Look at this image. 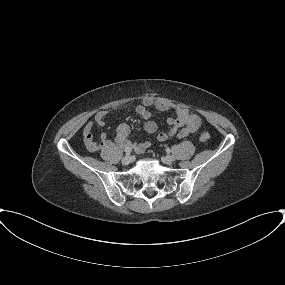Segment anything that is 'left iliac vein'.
Instances as JSON below:
<instances>
[{
    "label": "left iliac vein",
    "mask_w": 285,
    "mask_h": 285,
    "mask_svg": "<svg viewBox=\"0 0 285 285\" xmlns=\"http://www.w3.org/2000/svg\"><path fill=\"white\" fill-rule=\"evenodd\" d=\"M163 160H164L165 163L171 164V163H173L175 158L173 156H171V155H168V156L164 157Z\"/></svg>",
    "instance_id": "1"
}]
</instances>
